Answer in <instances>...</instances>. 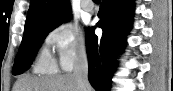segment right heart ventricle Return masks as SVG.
Returning <instances> with one entry per match:
<instances>
[{
	"instance_id": "e07e8e85",
	"label": "right heart ventricle",
	"mask_w": 173,
	"mask_h": 91,
	"mask_svg": "<svg viewBox=\"0 0 173 91\" xmlns=\"http://www.w3.org/2000/svg\"><path fill=\"white\" fill-rule=\"evenodd\" d=\"M35 72L37 73H54L56 71L55 60L50 56V54L43 50L35 63L34 67Z\"/></svg>"
}]
</instances>
